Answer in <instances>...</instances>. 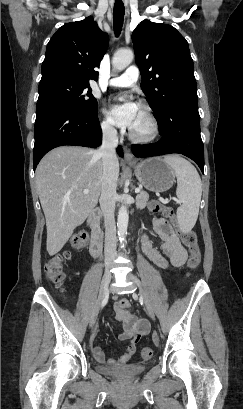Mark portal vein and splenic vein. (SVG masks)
I'll list each match as a JSON object with an SVG mask.
<instances>
[{"instance_id":"18ae733b","label":"portal vein and splenic vein","mask_w":243,"mask_h":409,"mask_svg":"<svg viewBox=\"0 0 243 409\" xmlns=\"http://www.w3.org/2000/svg\"><path fill=\"white\" fill-rule=\"evenodd\" d=\"M139 192H140V189H139V188H136V189H135V193H139ZM83 193H84V194H88L89 191H88V190H84Z\"/></svg>"}]
</instances>
